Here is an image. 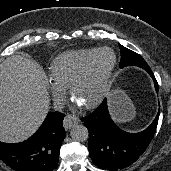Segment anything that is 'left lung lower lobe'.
Here are the masks:
<instances>
[{
  "instance_id": "1",
  "label": "left lung lower lobe",
  "mask_w": 171,
  "mask_h": 171,
  "mask_svg": "<svg viewBox=\"0 0 171 171\" xmlns=\"http://www.w3.org/2000/svg\"><path fill=\"white\" fill-rule=\"evenodd\" d=\"M154 80L156 92L158 83L151 71L147 70ZM159 111L152 124L142 132L127 133L118 128L110 118L107 101L90 115L82 118L89 130V153L101 169L116 171L126 168L135 162L146 150L157 128Z\"/></svg>"
}]
</instances>
